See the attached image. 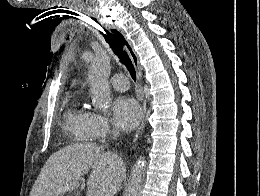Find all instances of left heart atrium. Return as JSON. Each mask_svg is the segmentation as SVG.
I'll use <instances>...</instances> for the list:
<instances>
[{"mask_svg":"<svg viewBox=\"0 0 260 196\" xmlns=\"http://www.w3.org/2000/svg\"><path fill=\"white\" fill-rule=\"evenodd\" d=\"M142 118V110L137 101L129 96H120L113 103V119L123 130L134 129Z\"/></svg>","mask_w":260,"mask_h":196,"instance_id":"39dd6f15","label":"left heart atrium"}]
</instances>
